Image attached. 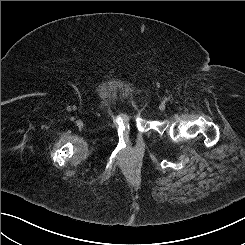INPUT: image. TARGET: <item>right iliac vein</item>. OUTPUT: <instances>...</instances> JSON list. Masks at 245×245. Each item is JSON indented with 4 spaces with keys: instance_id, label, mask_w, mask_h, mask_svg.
<instances>
[{
    "instance_id": "obj_1",
    "label": "right iliac vein",
    "mask_w": 245,
    "mask_h": 245,
    "mask_svg": "<svg viewBox=\"0 0 245 245\" xmlns=\"http://www.w3.org/2000/svg\"><path fill=\"white\" fill-rule=\"evenodd\" d=\"M78 126H82V122L81 121H77L76 122Z\"/></svg>"
}]
</instances>
